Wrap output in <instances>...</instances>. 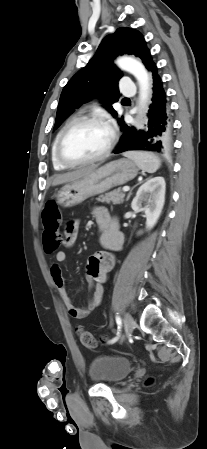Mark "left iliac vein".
<instances>
[{
  "instance_id": "1",
  "label": "left iliac vein",
  "mask_w": 207,
  "mask_h": 449,
  "mask_svg": "<svg viewBox=\"0 0 207 449\" xmlns=\"http://www.w3.org/2000/svg\"><path fill=\"white\" fill-rule=\"evenodd\" d=\"M124 320H125V325H126V331L128 334H131L133 332V329L135 326L134 319L132 318V316L130 314L126 313Z\"/></svg>"
}]
</instances>
